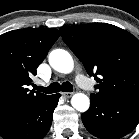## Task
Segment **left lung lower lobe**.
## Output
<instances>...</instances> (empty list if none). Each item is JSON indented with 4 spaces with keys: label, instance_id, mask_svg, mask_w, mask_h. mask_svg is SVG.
<instances>
[{
    "label": "left lung lower lobe",
    "instance_id": "obj_1",
    "mask_svg": "<svg viewBox=\"0 0 139 139\" xmlns=\"http://www.w3.org/2000/svg\"><path fill=\"white\" fill-rule=\"evenodd\" d=\"M91 105L81 115L86 129L102 139H117L132 131L139 123V95L104 102L90 96Z\"/></svg>",
    "mask_w": 139,
    "mask_h": 139
}]
</instances>
